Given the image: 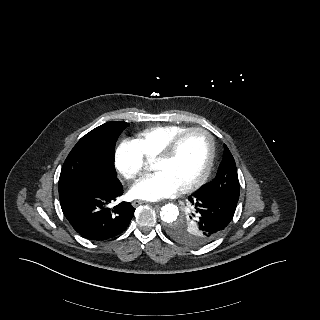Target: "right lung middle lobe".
<instances>
[{
  "instance_id": "1",
  "label": "right lung middle lobe",
  "mask_w": 320,
  "mask_h": 320,
  "mask_svg": "<svg viewBox=\"0 0 320 320\" xmlns=\"http://www.w3.org/2000/svg\"><path fill=\"white\" fill-rule=\"evenodd\" d=\"M123 121L107 122L84 135L66 158L59 177V189L90 183L119 182L114 166V150Z\"/></svg>"
}]
</instances>
